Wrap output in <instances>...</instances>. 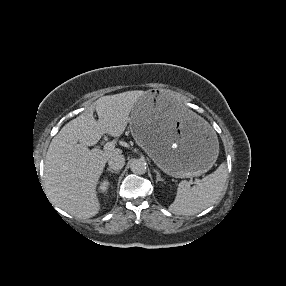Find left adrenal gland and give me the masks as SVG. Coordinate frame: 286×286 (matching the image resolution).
<instances>
[{
    "label": "left adrenal gland",
    "instance_id": "a2214340",
    "mask_svg": "<svg viewBox=\"0 0 286 286\" xmlns=\"http://www.w3.org/2000/svg\"><path fill=\"white\" fill-rule=\"evenodd\" d=\"M154 172H155L156 175H157L156 182L163 181V179H162L161 176H160V173H159L158 171H156V170H154Z\"/></svg>",
    "mask_w": 286,
    "mask_h": 286
}]
</instances>
